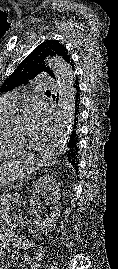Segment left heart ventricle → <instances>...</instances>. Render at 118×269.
Here are the masks:
<instances>
[{
  "label": "left heart ventricle",
  "mask_w": 118,
  "mask_h": 269,
  "mask_svg": "<svg viewBox=\"0 0 118 269\" xmlns=\"http://www.w3.org/2000/svg\"><path fill=\"white\" fill-rule=\"evenodd\" d=\"M12 129L15 134L25 138H30L31 136L28 133L27 125L23 117H18L14 120L12 124Z\"/></svg>",
  "instance_id": "b2bd125f"
}]
</instances>
